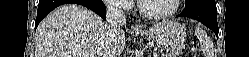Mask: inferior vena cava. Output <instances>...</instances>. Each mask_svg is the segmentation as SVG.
Listing matches in <instances>:
<instances>
[{
    "label": "inferior vena cava",
    "mask_w": 249,
    "mask_h": 57,
    "mask_svg": "<svg viewBox=\"0 0 249 57\" xmlns=\"http://www.w3.org/2000/svg\"><path fill=\"white\" fill-rule=\"evenodd\" d=\"M107 28L110 33H117L122 26L126 25L124 12L113 3H109L106 12Z\"/></svg>",
    "instance_id": "obj_1"
}]
</instances>
